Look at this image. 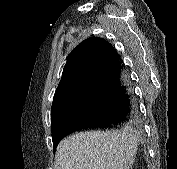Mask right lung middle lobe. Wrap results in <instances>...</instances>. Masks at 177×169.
I'll return each mask as SVG.
<instances>
[{
    "label": "right lung middle lobe",
    "instance_id": "dd1d6c3e",
    "mask_svg": "<svg viewBox=\"0 0 177 169\" xmlns=\"http://www.w3.org/2000/svg\"><path fill=\"white\" fill-rule=\"evenodd\" d=\"M90 99L89 83L86 82L74 92L52 105L51 131L52 135L61 120L79 113Z\"/></svg>",
    "mask_w": 177,
    "mask_h": 169
}]
</instances>
